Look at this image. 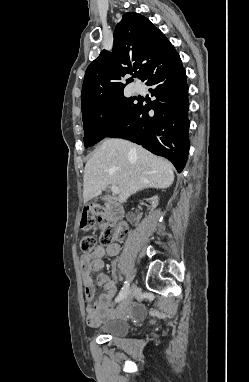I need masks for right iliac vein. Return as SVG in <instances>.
Masks as SVG:
<instances>
[{
	"label": "right iliac vein",
	"mask_w": 249,
	"mask_h": 382,
	"mask_svg": "<svg viewBox=\"0 0 249 382\" xmlns=\"http://www.w3.org/2000/svg\"><path fill=\"white\" fill-rule=\"evenodd\" d=\"M136 292H137V287L136 285L133 284L130 290H128L125 297L122 299L121 303L118 306V309H122L126 307L132 301L133 296L136 294Z\"/></svg>",
	"instance_id": "right-iliac-vein-1"
}]
</instances>
